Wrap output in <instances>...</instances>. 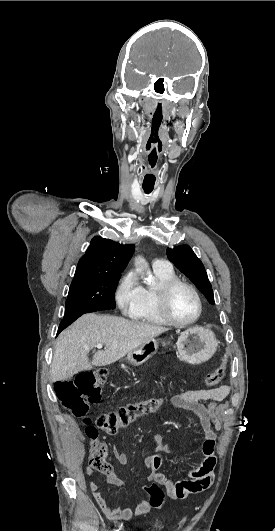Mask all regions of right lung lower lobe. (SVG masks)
Segmentation results:
<instances>
[{
    "label": "right lung lower lobe",
    "instance_id": "right-lung-lower-lobe-1",
    "mask_svg": "<svg viewBox=\"0 0 275 531\" xmlns=\"http://www.w3.org/2000/svg\"><path fill=\"white\" fill-rule=\"evenodd\" d=\"M78 317L80 316H76V318L70 320V321H66V322H62L60 323L59 325V329H58V333L59 334L63 329H65L67 326H69L72 322H74Z\"/></svg>",
    "mask_w": 275,
    "mask_h": 531
}]
</instances>
